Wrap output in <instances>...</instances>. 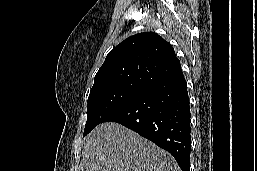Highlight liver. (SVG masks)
<instances>
[{
	"instance_id": "obj_1",
	"label": "liver",
	"mask_w": 257,
	"mask_h": 171,
	"mask_svg": "<svg viewBox=\"0 0 257 171\" xmlns=\"http://www.w3.org/2000/svg\"><path fill=\"white\" fill-rule=\"evenodd\" d=\"M79 171H181L153 142L115 122L98 125L85 138Z\"/></svg>"
}]
</instances>
